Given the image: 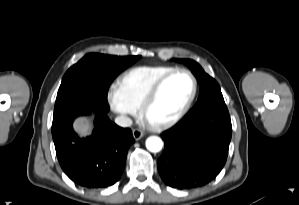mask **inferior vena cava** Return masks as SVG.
I'll use <instances>...</instances> for the list:
<instances>
[{"instance_id": "1", "label": "inferior vena cava", "mask_w": 299, "mask_h": 205, "mask_svg": "<svg viewBox=\"0 0 299 205\" xmlns=\"http://www.w3.org/2000/svg\"><path fill=\"white\" fill-rule=\"evenodd\" d=\"M115 123L121 127H130L132 125V119L127 116L120 115L115 118Z\"/></svg>"}]
</instances>
